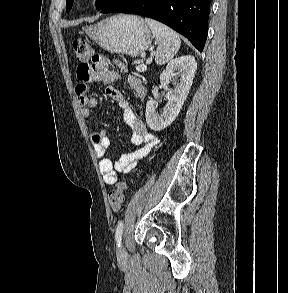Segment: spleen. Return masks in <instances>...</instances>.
Returning <instances> with one entry per match:
<instances>
[{
  "label": "spleen",
  "mask_w": 288,
  "mask_h": 293,
  "mask_svg": "<svg viewBox=\"0 0 288 293\" xmlns=\"http://www.w3.org/2000/svg\"><path fill=\"white\" fill-rule=\"evenodd\" d=\"M145 22L150 27L158 45L155 55L156 63L163 65L171 61L181 45L179 35L171 28L153 19L145 18Z\"/></svg>",
  "instance_id": "3e777b00"
}]
</instances>
